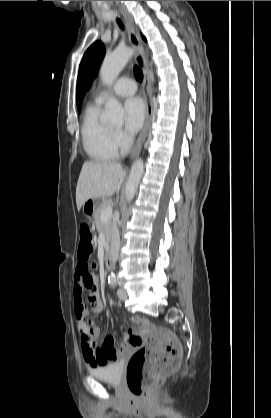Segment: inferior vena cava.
<instances>
[{
	"instance_id": "obj_1",
	"label": "inferior vena cava",
	"mask_w": 271,
	"mask_h": 418,
	"mask_svg": "<svg viewBox=\"0 0 271 418\" xmlns=\"http://www.w3.org/2000/svg\"><path fill=\"white\" fill-rule=\"evenodd\" d=\"M133 141V137L131 139ZM120 247V236H119V230L116 224L113 226L112 231V238H111V254L113 258L116 257L118 250Z\"/></svg>"
}]
</instances>
